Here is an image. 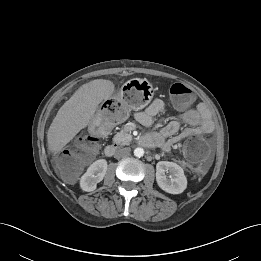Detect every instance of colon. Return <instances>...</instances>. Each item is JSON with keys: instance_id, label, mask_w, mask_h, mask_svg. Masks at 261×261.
Masks as SVG:
<instances>
[{"instance_id": "colon-1", "label": "colon", "mask_w": 261, "mask_h": 261, "mask_svg": "<svg viewBox=\"0 0 261 261\" xmlns=\"http://www.w3.org/2000/svg\"><path fill=\"white\" fill-rule=\"evenodd\" d=\"M173 102L180 107L188 106L193 100L192 91L184 84L175 83L170 88ZM103 121L93 133L80 137L73 148L61 154L57 160V168L65 180L72 181L77 178L85 162L91 159L98 149L99 140L107 134L109 125L120 121L124 115L117 110H111L105 115ZM185 151L193 159L201 158L206 153V145L197 137L190 139L185 145Z\"/></svg>"}]
</instances>
